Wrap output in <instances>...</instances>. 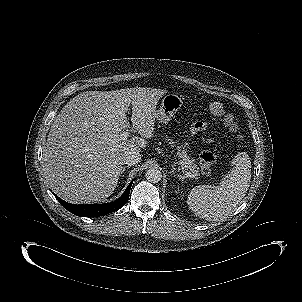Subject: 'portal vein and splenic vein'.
I'll return each mask as SVG.
<instances>
[{
    "instance_id": "obj_1",
    "label": "portal vein and splenic vein",
    "mask_w": 302,
    "mask_h": 302,
    "mask_svg": "<svg viewBox=\"0 0 302 302\" xmlns=\"http://www.w3.org/2000/svg\"><path fill=\"white\" fill-rule=\"evenodd\" d=\"M129 131L127 130V131H124L123 133H121L120 135H119V137L117 138V139H113L112 141H114V142H116V141H118V140H126L128 137H129ZM185 175H186V177H189V178H195V175H193L192 173H190V172H185Z\"/></svg>"
}]
</instances>
